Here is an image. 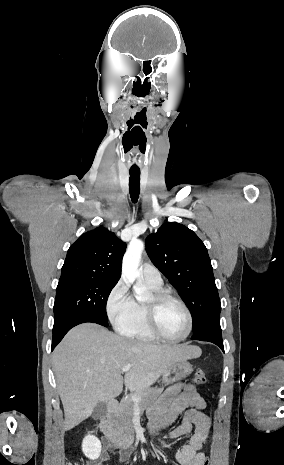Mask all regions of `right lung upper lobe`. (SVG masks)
Listing matches in <instances>:
<instances>
[{"label": "right lung upper lobe", "mask_w": 284, "mask_h": 465, "mask_svg": "<svg viewBox=\"0 0 284 465\" xmlns=\"http://www.w3.org/2000/svg\"><path fill=\"white\" fill-rule=\"evenodd\" d=\"M126 244L100 226L81 235L68 249L60 278L89 277L118 282Z\"/></svg>", "instance_id": "right-lung-upper-lobe-1"}]
</instances>
